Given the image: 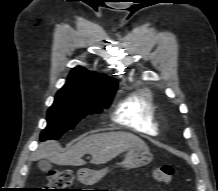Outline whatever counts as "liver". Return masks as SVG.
Instances as JSON below:
<instances>
[{
    "label": "liver",
    "instance_id": "obj_1",
    "mask_svg": "<svg viewBox=\"0 0 218 191\" xmlns=\"http://www.w3.org/2000/svg\"><path fill=\"white\" fill-rule=\"evenodd\" d=\"M148 150V146L138 136L127 132H104L89 135L66 152H60L55 141L45 142L38 147L34 158L48 159L57 165L82 166V157L91 154L93 164H104L122 152L130 149Z\"/></svg>",
    "mask_w": 218,
    "mask_h": 191
}]
</instances>
